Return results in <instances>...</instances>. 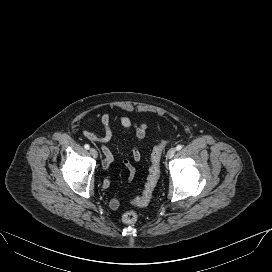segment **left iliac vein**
Here are the masks:
<instances>
[{
	"label": "left iliac vein",
	"instance_id": "4c4485c4",
	"mask_svg": "<svg viewBox=\"0 0 272 272\" xmlns=\"http://www.w3.org/2000/svg\"><path fill=\"white\" fill-rule=\"evenodd\" d=\"M176 153V148H170L167 152V158L171 159Z\"/></svg>",
	"mask_w": 272,
	"mask_h": 272
}]
</instances>
